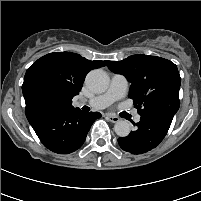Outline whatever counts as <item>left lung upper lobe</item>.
<instances>
[{"mask_svg":"<svg viewBox=\"0 0 201 201\" xmlns=\"http://www.w3.org/2000/svg\"><path fill=\"white\" fill-rule=\"evenodd\" d=\"M108 68L131 82L129 97L141 117L163 115L173 118L180 106L181 78L171 61L143 54L122 61H106Z\"/></svg>","mask_w":201,"mask_h":201,"instance_id":"5c2ea615","label":"left lung upper lobe"}]
</instances>
